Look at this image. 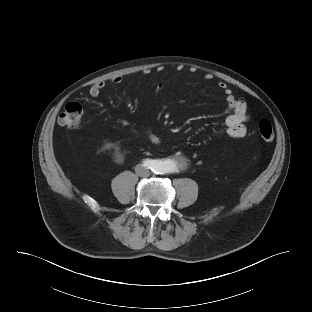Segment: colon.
<instances>
[{"label": "colon", "instance_id": "colon-1", "mask_svg": "<svg viewBox=\"0 0 312 312\" xmlns=\"http://www.w3.org/2000/svg\"><path fill=\"white\" fill-rule=\"evenodd\" d=\"M83 108L78 102H70L65 106L64 111L60 114L58 123L61 126L74 129L80 125ZM258 132L260 137L271 142L274 139L272 124L267 119H262L258 123Z\"/></svg>", "mask_w": 312, "mask_h": 312}]
</instances>
